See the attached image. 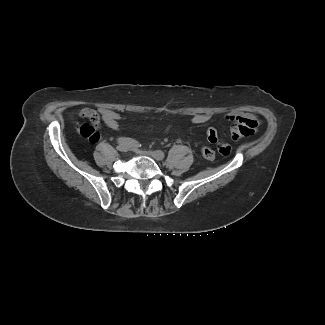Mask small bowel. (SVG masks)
I'll use <instances>...</instances> for the list:
<instances>
[{"mask_svg":"<svg viewBox=\"0 0 325 325\" xmlns=\"http://www.w3.org/2000/svg\"><path fill=\"white\" fill-rule=\"evenodd\" d=\"M80 116L87 119L89 121L88 125L96 130L100 127L101 122H103L108 128L117 131L119 126L118 122L121 119L119 113L107 108H100L98 110L85 108L80 112ZM209 118L207 114H197L193 116L192 122L194 124H204ZM225 120L228 123L225 133L236 142L253 135V126L258 124L256 117L248 113H229L225 116ZM83 126L79 128L81 134H83ZM206 137L209 143L218 147L222 155L227 156L230 154V146L227 142L219 140L218 133L214 128L207 129Z\"/></svg>","mask_w":325,"mask_h":325,"instance_id":"c3829d8e","label":"small bowel"}]
</instances>
